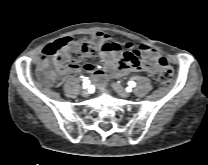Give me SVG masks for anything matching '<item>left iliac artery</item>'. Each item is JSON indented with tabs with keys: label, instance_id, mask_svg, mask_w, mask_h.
<instances>
[{
	"label": "left iliac artery",
	"instance_id": "obj_1",
	"mask_svg": "<svg viewBox=\"0 0 208 165\" xmlns=\"http://www.w3.org/2000/svg\"><path fill=\"white\" fill-rule=\"evenodd\" d=\"M128 84L130 87H134L136 85V83L134 81H130Z\"/></svg>",
	"mask_w": 208,
	"mask_h": 165
}]
</instances>
